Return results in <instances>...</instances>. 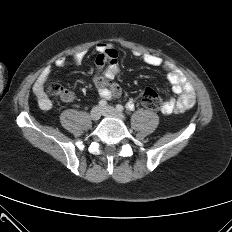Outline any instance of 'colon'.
Instances as JSON below:
<instances>
[{
    "mask_svg": "<svg viewBox=\"0 0 232 232\" xmlns=\"http://www.w3.org/2000/svg\"><path fill=\"white\" fill-rule=\"evenodd\" d=\"M48 91L53 95L60 96L63 95L65 92L64 89L58 84L50 85ZM142 103L146 108L154 111H160L163 107L162 97L154 89L151 88H147L143 92Z\"/></svg>",
    "mask_w": 232,
    "mask_h": 232,
    "instance_id": "5ec220e1",
    "label": "colon"
}]
</instances>
